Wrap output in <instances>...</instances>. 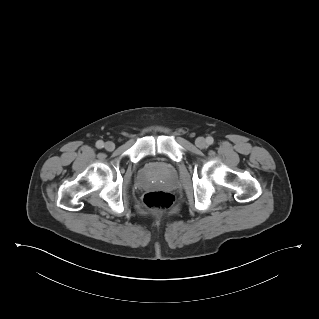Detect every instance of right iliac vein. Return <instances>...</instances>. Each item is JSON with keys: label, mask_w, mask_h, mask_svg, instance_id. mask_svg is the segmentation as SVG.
Instances as JSON below:
<instances>
[{"label": "right iliac vein", "mask_w": 319, "mask_h": 319, "mask_svg": "<svg viewBox=\"0 0 319 319\" xmlns=\"http://www.w3.org/2000/svg\"><path fill=\"white\" fill-rule=\"evenodd\" d=\"M114 148H115V144H114L113 142L107 141V142L105 143V149H106L107 151H113Z\"/></svg>", "instance_id": "63e3f726"}]
</instances>
